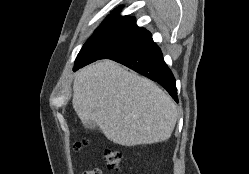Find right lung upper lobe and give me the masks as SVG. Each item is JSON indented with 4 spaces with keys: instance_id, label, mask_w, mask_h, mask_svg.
Masks as SVG:
<instances>
[{
    "instance_id": "obj_1",
    "label": "right lung upper lobe",
    "mask_w": 249,
    "mask_h": 174,
    "mask_svg": "<svg viewBox=\"0 0 249 174\" xmlns=\"http://www.w3.org/2000/svg\"><path fill=\"white\" fill-rule=\"evenodd\" d=\"M120 8L116 9L111 15H109L102 24L95 30H105L118 26H136L135 18L129 16H120Z\"/></svg>"
}]
</instances>
